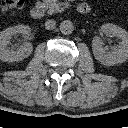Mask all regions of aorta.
<instances>
[{
    "label": "aorta",
    "mask_w": 128,
    "mask_h": 128,
    "mask_svg": "<svg viewBox=\"0 0 128 128\" xmlns=\"http://www.w3.org/2000/svg\"><path fill=\"white\" fill-rule=\"evenodd\" d=\"M60 31L64 35H69L74 31V25L70 20H64L60 23Z\"/></svg>",
    "instance_id": "1"
}]
</instances>
